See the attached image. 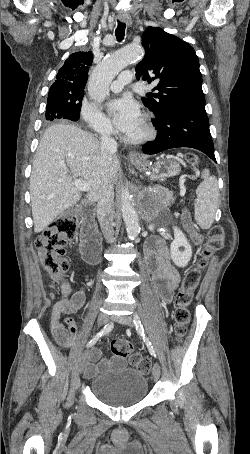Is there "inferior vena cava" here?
I'll return each instance as SVG.
<instances>
[{
	"label": "inferior vena cava",
	"instance_id": "inferior-vena-cava-1",
	"mask_svg": "<svg viewBox=\"0 0 250 454\" xmlns=\"http://www.w3.org/2000/svg\"><path fill=\"white\" fill-rule=\"evenodd\" d=\"M101 153L102 161L107 164V161L116 153L117 142L111 137L108 131L102 132L101 135ZM103 179V189L97 204V216L100 223V227L104 238L107 242L113 241L114 229H113V218H114V190L110 184L109 179L105 176Z\"/></svg>",
	"mask_w": 250,
	"mask_h": 454
}]
</instances>
